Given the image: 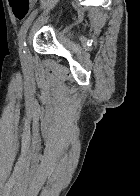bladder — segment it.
<instances>
[{
    "label": "bladder",
    "mask_w": 140,
    "mask_h": 196,
    "mask_svg": "<svg viewBox=\"0 0 140 196\" xmlns=\"http://www.w3.org/2000/svg\"><path fill=\"white\" fill-rule=\"evenodd\" d=\"M58 34L60 35V37H61L62 39H65L66 35H65V33L62 32V30H59V29H58Z\"/></svg>",
    "instance_id": "31cf9c89"
}]
</instances>
